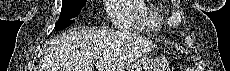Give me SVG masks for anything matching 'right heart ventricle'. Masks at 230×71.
<instances>
[{"label":"right heart ventricle","instance_id":"e07e8e85","mask_svg":"<svg viewBox=\"0 0 230 71\" xmlns=\"http://www.w3.org/2000/svg\"><path fill=\"white\" fill-rule=\"evenodd\" d=\"M114 25L125 30H155L158 14L143 0H114L109 6Z\"/></svg>","mask_w":230,"mask_h":71}]
</instances>
